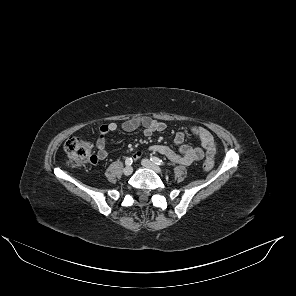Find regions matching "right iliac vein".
Listing matches in <instances>:
<instances>
[{"instance_id": "1", "label": "right iliac vein", "mask_w": 296, "mask_h": 296, "mask_svg": "<svg viewBox=\"0 0 296 296\" xmlns=\"http://www.w3.org/2000/svg\"><path fill=\"white\" fill-rule=\"evenodd\" d=\"M132 172H133V168H132L131 166H127V167H125L124 170H123V173H124L126 176L131 175Z\"/></svg>"}]
</instances>
